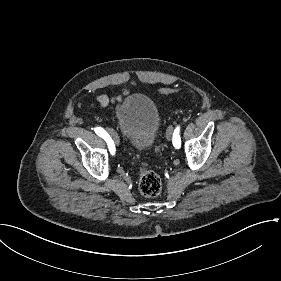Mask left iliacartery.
<instances>
[{
	"instance_id": "1",
	"label": "left iliac artery",
	"mask_w": 281,
	"mask_h": 281,
	"mask_svg": "<svg viewBox=\"0 0 281 281\" xmlns=\"http://www.w3.org/2000/svg\"><path fill=\"white\" fill-rule=\"evenodd\" d=\"M179 131H180V128L177 127L174 130V133H173V145H174L175 148H180V146H181V140H180V136H179Z\"/></svg>"
}]
</instances>
